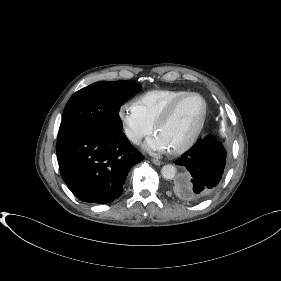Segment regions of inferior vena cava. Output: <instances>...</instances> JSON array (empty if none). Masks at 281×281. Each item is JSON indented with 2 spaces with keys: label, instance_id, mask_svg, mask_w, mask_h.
I'll return each instance as SVG.
<instances>
[{
  "label": "inferior vena cava",
  "instance_id": "1",
  "mask_svg": "<svg viewBox=\"0 0 281 281\" xmlns=\"http://www.w3.org/2000/svg\"><path fill=\"white\" fill-rule=\"evenodd\" d=\"M128 137L135 144H138L140 142V137L138 135L129 134Z\"/></svg>",
  "mask_w": 281,
  "mask_h": 281
}]
</instances>
